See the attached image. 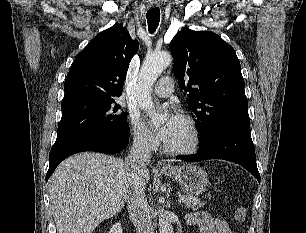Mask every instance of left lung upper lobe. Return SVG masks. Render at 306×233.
I'll list each match as a JSON object with an SVG mask.
<instances>
[{
    "instance_id": "left-lung-upper-lobe-1",
    "label": "left lung upper lobe",
    "mask_w": 306,
    "mask_h": 233,
    "mask_svg": "<svg viewBox=\"0 0 306 233\" xmlns=\"http://www.w3.org/2000/svg\"><path fill=\"white\" fill-rule=\"evenodd\" d=\"M170 51L179 85L189 92L199 140L220 129L250 127L240 62L229 44L213 32L183 28Z\"/></svg>"
}]
</instances>
